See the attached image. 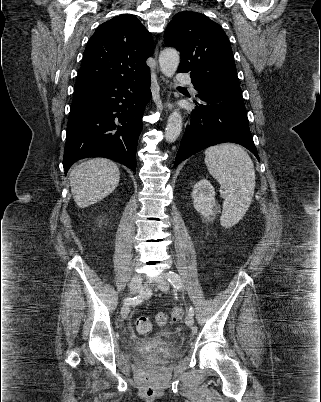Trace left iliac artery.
Segmentation results:
<instances>
[{"label": "left iliac artery", "mask_w": 321, "mask_h": 402, "mask_svg": "<svg viewBox=\"0 0 321 402\" xmlns=\"http://www.w3.org/2000/svg\"><path fill=\"white\" fill-rule=\"evenodd\" d=\"M166 277L175 289H177V290L183 289V283L178 274L170 271ZM188 314L191 316L194 315V309L192 307H190Z\"/></svg>", "instance_id": "left-iliac-artery-1"}]
</instances>
